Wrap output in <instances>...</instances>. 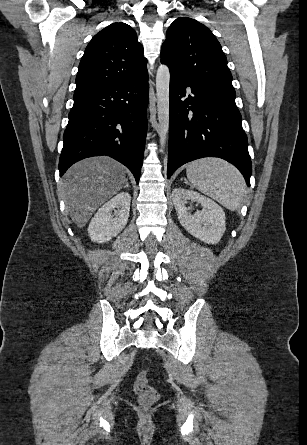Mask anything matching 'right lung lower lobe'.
Instances as JSON below:
<instances>
[{"instance_id":"98d812e1","label":"right lung lower lobe","mask_w":307,"mask_h":445,"mask_svg":"<svg viewBox=\"0 0 307 445\" xmlns=\"http://www.w3.org/2000/svg\"><path fill=\"white\" fill-rule=\"evenodd\" d=\"M73 98L60 176L81 159L108 155L127 166L138 183L147 133L148 72L74 93Z\"/></svg>"}]
</instances>
